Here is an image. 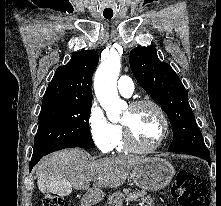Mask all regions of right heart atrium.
Listing matches in <instances>:
<instances>
[{
    "label": "right heart atrium",
    "instance_id": "right-heart-atrium-1",
    "mask_svg": "<svg viewBox=\"0 0 221 206\" xmlns=\"http://www.w3.org/2000/svg\"><path fill=\"white\" fill-rule=\"evenodd\" d=\"M88 127L94 144L102 153L113 150L118 137V126L108 120L96 101L90 107Z\"/></svg>",
    "mask_w": 221,
    "mask_h": 206
}]
</instances>
